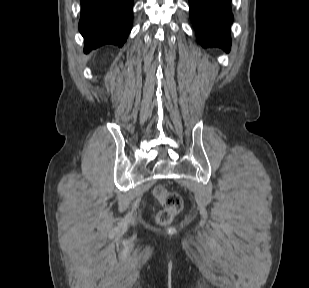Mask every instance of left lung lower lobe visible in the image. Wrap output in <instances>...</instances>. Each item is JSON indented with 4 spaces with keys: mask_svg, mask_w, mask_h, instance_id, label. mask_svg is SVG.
<instances>
[{
    "mask_svg": "<svg viewBox=\"0 0 309 288\" xmlns=\"http://www.w3.org/2000/svg\"><path fill=\"white\" fill-rule=\"evenodd\" d=\"M190 18L203 47H231V0H189Z\"/></svg>",
    "mask_w": 309,
    "mask_h": 288,
    "instance_id": "1",
    "label": "left lung lower lobe"
}]
</instances>
